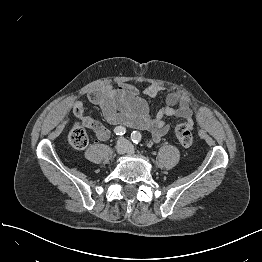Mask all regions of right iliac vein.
I'll return each mask as SVG.
<instances>
[{"label": "right iliac vein", "mask_w": 262, "mask_h": 262, "mask_svg": "<svg viewBox=\"0 0 262 262\" xmlns=\"http://www.w3.org/2000/svg\"><path fill=\"white\" fill-rule=\"evenodd\" d=\"M115 150L118 154H124L127 151V142L120 139L115 146Z\"/></svg>", "instance_id": "right-iliac-vein-1"}]
</instances>
